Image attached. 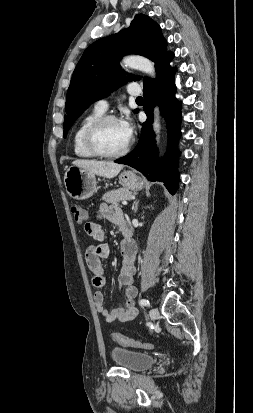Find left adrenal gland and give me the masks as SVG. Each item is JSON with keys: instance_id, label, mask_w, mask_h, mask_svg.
<instances>
[{"instance_id": "a2214340", "label": "left adrenal gland", "mask_w": 253, "mask_h": 413, "mask_svg": "<svg viewBox=\"0 0 253 413\" xmlns=\"http://www.w3.org/2000/svg\"><path fill=\"white\" fill-rule=\"evenodd\" d=\"M138 203H139V200L134 202V205H133V207H132V209H133L134 213H136V212H137V209H138Z\"/></svg>"}]
</instances>
